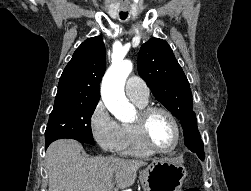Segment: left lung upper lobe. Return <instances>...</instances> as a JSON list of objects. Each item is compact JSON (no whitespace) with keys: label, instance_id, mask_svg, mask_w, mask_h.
Segmentation results:
<instances>
[{"label":"left lung upper lobe","instance_id":"1","mask_svg":"<svg viewBox=\"0 0 251 191\" xmlns=\"http://www.w3.org/2000/svg\"><path fill=\"white\" fill-rule=\"evenodd\" d=\"M137 66L140 77L146 81L155 98L181 121L187 148L204 160L189 82L168 43L158 38L144 43Z\"/></svg>","mask_w":251,"mask_h":191}]
</instances>
